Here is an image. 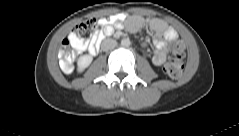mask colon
<instances>
[{
	"label": "colon",
	"instance_id": "obj_1",
	"mask_svg": "<svg viewBox=\"0 0 239 136\" xmlns=\"http://www.w3.org/2000/svg\"><path fill=\"white\" fill-rule=\"evenodd\" d=\"M96 19H87L75 26L73 34L64 39L59 49V60L62 69L66 72L71 71L73 58L77 53L74 40L79 42L88 39L96 27ZM185 46L181 41H174L171 45V57L164 65L165 73L171 78H178L183 72V58Z\"/></svg>",
	"mask_w": 239,
	"mask_h": 136
}]
</instances>
